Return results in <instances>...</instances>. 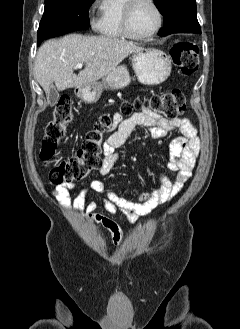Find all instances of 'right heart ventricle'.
<instances>
[{
	"label": "right heart ventricle",
	"instance_id": "e07e8e85",
	"mask_svg": "<svg viewBox=\"0 0 240 329\" xmlns=\"http://www.w3.org/2000/svg\"><path fill=\"white\" fill-rule=\"evenodd\" d=\"M127 0H101L96 30L105 38L121 40L128 38L122 30V14Z\"/></svg>",
	"mask_w": 240,
	"mask_h": 329
}]
</instances>
